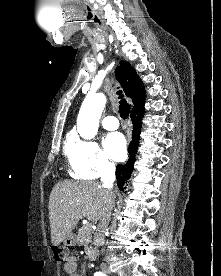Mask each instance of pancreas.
Returning <instances> with one entry per match:
<instances>
[{
	"label": "pancreas",
	"instance_id": "obj_1",
	"mask_svg": "<svg viewBox=\"0 0 221 276\" xmlns=\"http://www.w3.org/2000/svg\"><path fill=\"white\" fill-rule=\"evenodd\" d=\"M91 227L85 225L78 230V235L76 238V242L79 246H84L87 250L91 249L92 243V234H91Z\"/></svg>",
	"mask_w": 221,
	"mask_h": 276
}]
</instances>
